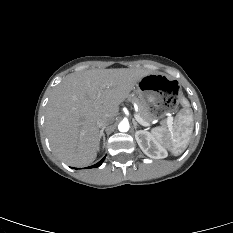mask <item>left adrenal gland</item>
<instances>
[{
	"instance_id": "a2214340",
	"label": "left adrenal gland",
	"mask_w": 233,
	"mask_h": 233,
	"mask_svg": "<svg viewBox=\"0 0 233 233\" xmlns=\"http://www.w3.org/2000/svg\"><path fill=\"white\" fill-rule=\"evenodd\" d=\"M133 121V125H134V127H135V129L137 128V126H138V123L133 119L132 120Z\"/></svg>"
}]
</instances>
